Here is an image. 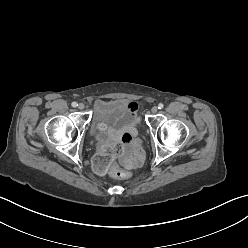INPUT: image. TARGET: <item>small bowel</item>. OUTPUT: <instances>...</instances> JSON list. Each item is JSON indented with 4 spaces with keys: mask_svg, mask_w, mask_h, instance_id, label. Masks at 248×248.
<instances>
[{
    "mask_svg": "<svg viewBox=\"0 0 248 248\" xmlns=\"http://www.w3.org/2000/svg\"><path fill=\"white\" fill-rule=\"evenodd\" d=\"M130 104L133 107V111L137 113L138 104L134 101H130ZM122 141L124 146L119 151L120 158L128 167L138 166L143 159V148L141 144L127 132L123 134Z\"/></svg>",
    "mask_w": 248,
    "mask_h": 248,
    "instance_id": "c3829d8e",
    "label": "small bowel"
}]
</instances>
